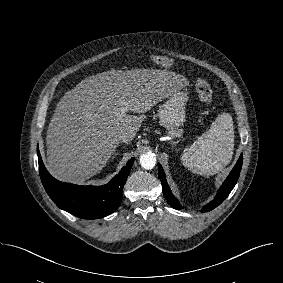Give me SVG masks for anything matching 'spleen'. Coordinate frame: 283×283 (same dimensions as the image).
Listing matches in <instances>:
<instances>
[{
  "instance_id": "spleen-1",
  "label": "spleen",
  "mask_w": 283,
  "mask_h": 283,
  "mask_svg": "<svg viewBox=\"0 0 283 283\" xmlns=\"http://www.w3.org/2000/svg\"><path fill=\"white\" fill-rule=\"evenodd\" d=\"M233 150V119L229 113H222L211 124L210 129L182 154L181 162L193 173L214 175L231 162Z\"/></svg>"
}]
</instances>
